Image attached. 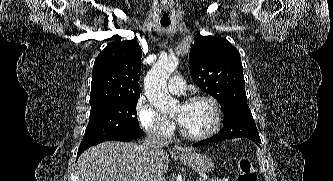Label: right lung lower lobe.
I'll return each instance as SVG.
<instances>
[{"instance_id": "98d812e1", "label": "right lung lower lobe", "mask_w": 333, "mask_h": 181, "mask_svg": "<svg viewBox=\"0 0 333 181\" xmlns=\"http://www.w3.org/2000/svg\"><path fill=\"white\" fill-rule=\"evenodd\" d=\"M136 138H122V139H107V140H100V141H94L90 144H86V145H80L79 149H78V153H77V158L80 156V154L85 151L87 148L96 145L98 143L104 142V141H108V140H115V141H124V142H129L131 140H134Z\"/></svg>"}]
</instances>
